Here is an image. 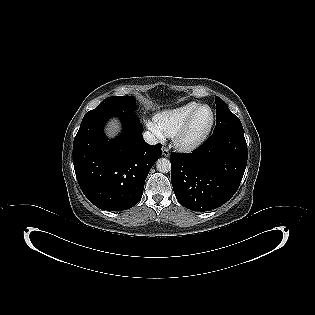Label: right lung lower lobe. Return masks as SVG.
Here are the masks:
<instances>
[{"mask_svg": "<svg viewBox=\"0 0 315 315\" xmlns=\"http://www.w3.org/2000/svg\"><path fill=\"white\" fill-rule=\"evenodd\" d=\"M112 116L122 118L123 131L108 140L103 127ZM142 130L131 112L114 106L96 107L85 114L73 143V164L82 192L96 207L119 211L140 201L162 147L148 145Z\"/></svg>", "mask_w": 315, "mask_h": 315, "instance_id": "right-lung-lower-lobe-1", "label": "right lung lower lobe"}]
</instances>
